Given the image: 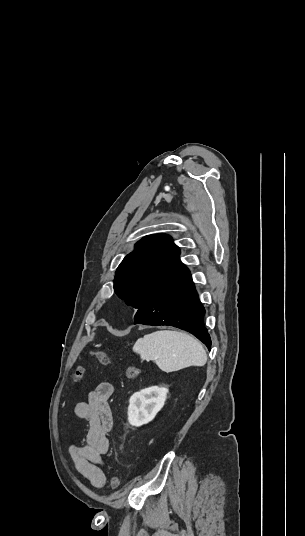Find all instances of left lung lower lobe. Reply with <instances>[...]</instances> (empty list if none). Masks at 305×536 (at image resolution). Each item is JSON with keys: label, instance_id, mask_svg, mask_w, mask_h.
Here are the masks:
<instances>
[{"label": "left lung lower lobe", "instance_id": "obj_1", "mask_svg": "<svg viewBox=\"0 0 305 536\" xmlns=\"http://www.w3.org/2000/svg\"><path fill=\"white\" fill-rule=\"evenodd\" d=\"M205 309L200 303L187 269L151 296L137 311L136 324L171 325L193 333L210 350L211 340L203 323Z\"/></svg>", "mask_w": 305, "mask_h": 536}]
</instances>
